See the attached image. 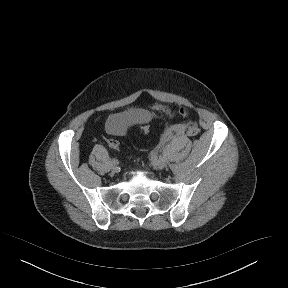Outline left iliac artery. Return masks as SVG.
<instances>
[{
	"label": "left iliac artery",
	"mask_w": 288,
	"mask_h": 288,
	"mask_svg": "<svg viewBox=\"0 0 288 288\" xmlns=\"http://www.w3.org/2000/svg\"><path fill=\"white\" fill-rule=\"evenodd\" d=\"M158 155H159V157H163V154H161V153H159Z\"/></svg>",
	"instance_id": "left-iliac-artery-1"
}]
</instances>
